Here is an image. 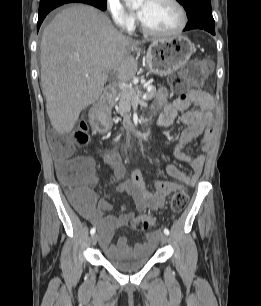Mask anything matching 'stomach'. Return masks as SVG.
Returning <instances> with one entry per match:
<instances>
[{
  "label": "stomach",
  "mask_w": 261,
  "mask_h": 306,
  "mask_svg": "<svg viewBox=\"0 0 261 306\" xmlns=\"http://www.w3.org/2000/svg\"><path fill=\"white\" fill-rule=\"evenodd\" d=\"M194 51V44L186 36L176 35L157 39L147 50L146 66L150 73L168 75L184 66ZM90 123L99 133L107 132L110 128V119L98 114L91 115Z\"/></svg>",
  "instance_id": "0dacf381"
}]
</instances>
